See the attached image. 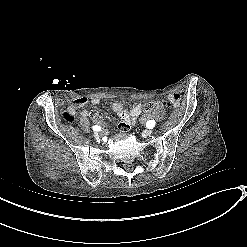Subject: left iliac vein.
Here are the masks:
<instances>
[{"instance_id": "1", "label": "left iliac vein", "mask_w": 247, "mask_h": 247, "mask_svg": "<svg viewBox=\"0 0 247 247\" xmlns=\"http://www.w3.org/2000/svg\"><path fill=\"white\" fill-rule=\"evenodd\" d=\"M152 134V130L151 129H146L143 131V135L144 136H150Z\"/></svg>"}]
</instances>
